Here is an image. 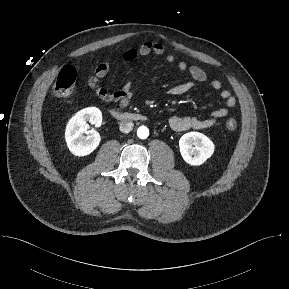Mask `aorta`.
Masks as SVG:
<instances>
[{"label": "aorta", "mask_w": 289, "mask_h": 289, "mask_svg": "<svg viewBox=\"0 0 289 289\" xmlns=\"http://www.w3.org/2000/svg\"><path fill=\"white\" fill-rule=\"evenodd\" d=\"M137 136L140 139H146L149 136V129L145 126H141L137 130Z\"/></svg>", "instance_id": "762f6f07"}]
</instances>
